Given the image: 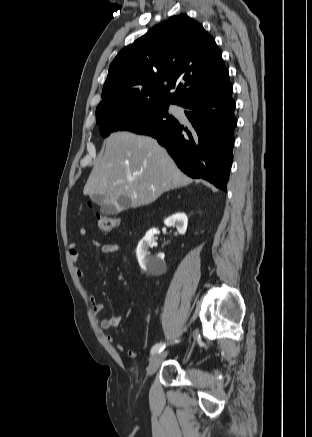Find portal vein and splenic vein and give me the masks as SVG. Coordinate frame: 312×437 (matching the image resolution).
Here are the masks:
<instances>
[{"instance_id":"1","label":"portal vein and splenic vein","mask_w":312,"mask_h":437,"mask_svg":"<svg viewBox=\"0 0 312 437\" xmlns=\"http://www.w3.org/2000/svg\"><path fill=\"white\" fill-rule=\"evenodd\" d=\"M151 189H152V190H155V188H154V187H151Z\"/></svg>"}]
</instances>
